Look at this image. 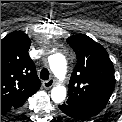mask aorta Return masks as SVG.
<instances>
[{
	"label": "aorta",
	"mask_w": 122,
	"mask_h": 122,
	"mask_svg": "<svg viewBox=\"0 0 122 122\" xmlns=\"http://www.w3.org/2000/svg\"><path fill=\"white\" fill-rule=\"evenodd\" d=\"M49 65L51 71L54 73L55 77L59 80L65 78L67 72V62L66 58L61 53H56L52 55L49 59ZM67 95V90L63 85H56L51 90V99L55 103H61L65 100Z\"/></svg>",
	"instance_id": "762f6f07"
}]
</instances>
